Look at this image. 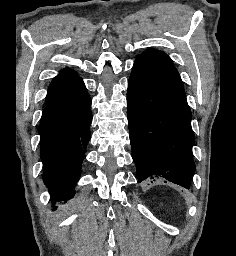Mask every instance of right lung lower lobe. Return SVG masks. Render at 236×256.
I'll return each instance as SVG.
<instances>
[{"mask_svg": "<svg viewBox=\"0 0 236 256\" xmlns=\"http://www.w3.org/2000/svg\"><path fill=\"white\" fill-rule=\"evenodd\" d=\"M91 121V100L83 81L45 105L38 132L43 180L53 204L75 194L72 189L81 175Z\"/></svg>", "mask_w": 236, "mask_h": 256, "instance_id": "1", "label": "right lung lower lobe"}]
</instances>
